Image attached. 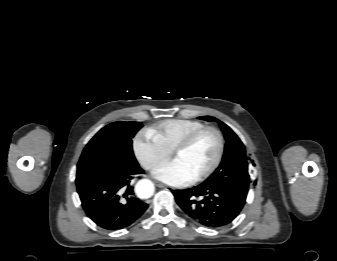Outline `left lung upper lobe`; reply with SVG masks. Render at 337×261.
<instances>
[{
	"label": "left lung upper lobe",
	"mask_w": 337,
	"mask_h": 261,
	"mask_svg": "<svg viewBox=\"0 0 337 261\" xmlns=\"http://www.w3.org/2000/svg\"><path fill=\"white\" fill-rule=\"evenodd\" d=\"M200 119L218 122L226 139L225 151L220 166L201 185L224 188L245 202L250 177L243 143L230 127L216 118L203 116Z\"/></svg>",
	"instance_id": "obj_1"
}]
</instances>
